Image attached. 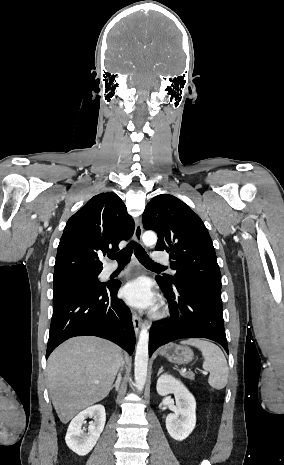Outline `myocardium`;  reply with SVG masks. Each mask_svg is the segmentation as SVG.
Listing matches in <instances>:
<instances>
[{
  "label": "myocardium",
  "mask_w": 284,
  "mask_h": 465,
  "mask_svg": "<svg viewBox=\"0 0 284 465\" xmlns=\"http://www.w3.org/2000/svg\"><path fill=\"white\" fill-rule=\"evenodd\" d=\"M168 314L167 309L163 308L161 309L156 315L158 318H163Z\"/></svg>",
  "instance_id": "myocardium-1"
}]
</instances>
